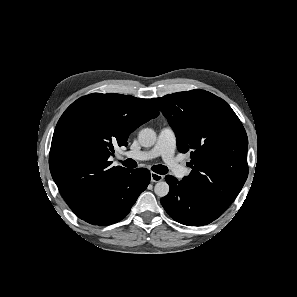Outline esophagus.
I'll list each match as a JSON object with an SVG mask.
<instances>
[{"label":"esophagus","mask_w":297,"mask_h":297,"mask_svg":"<svg viewBox=\"0 0 297 297\" xmlns=\"http://www.w3.org/2000/svg\"><path fill=\"white\" fill-rule=\"evenodd\" d=\"M164 179L163 175L157 174L155 172H151V181L152 182H160Z\"/></svg>","instance_id":"esophagus-1"}]
</instances>
